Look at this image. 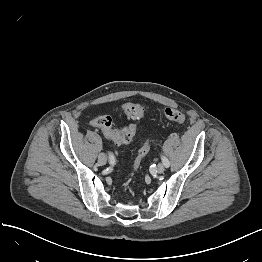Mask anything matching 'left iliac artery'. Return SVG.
<instances>
[{"label":"left iliac artery","instance_id":"obj_1","mask_svg":"<svg viewBox=\"0 0 262 262\" xmlns=\"http://www.w3.org/2000/svg\"><path fill=\"white\" fill-rule=\"evenodd\" d=\"M161 159H162L163 164L166 167H169V165H170L169 160L165 156H163V155H161Z\"/></svg>","mask_w":262,"mask_h":262}]
</instances>
